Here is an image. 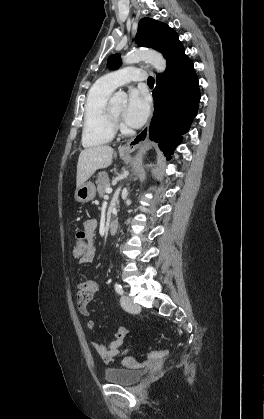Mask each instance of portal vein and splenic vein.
Listing matches in <instances>:
<instances>
[{"instance_id":"1","label":"portal vein and splenic vein","mask_w":264,"mask_h":419,"mask_svg":"<svg viewBox=\"0 0 264 419\" xmlns=\"http://www.w3.org/2000/svg\"><path fill=\"white\" fill-rule=\"evenodd\" d=\"M111 192H112V188L108 187V188L106 189V193H107V194H110ZM105 197H108V195H106Z\"/></svg>"}]
</instances>
